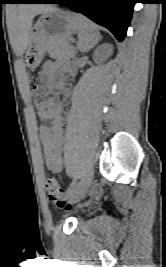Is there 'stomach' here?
Returning a JSON list of instances; mask_svg holds the SVG:
<instances>
[{"mask_svg":"<svg viewBox=\"0 0 166 267\" xmlns=\"http://www.w3.org/2000/svg\"><path fill=\"white\" fill-rule=\"evenodd\" d=\"M80 27V15L55 10L40 16L32 32L26 62L35 70L43 59L44 52L58 40H64L77 32Z\"/></svg>","mask_w":166,"mask_h":267,"instance_id":"stomach-1","label":"stomach"}]
</instances>
